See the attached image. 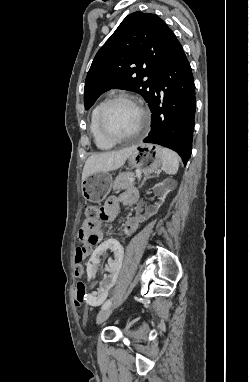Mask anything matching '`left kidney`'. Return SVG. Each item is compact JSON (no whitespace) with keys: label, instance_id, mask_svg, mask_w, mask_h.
Listing matches in <instances>:
<instances>
[{"label":"left kidney","instance_id":"left-kidney-1","mask_svg":"<svg viewBox=\"0 0 249 382\" xmlns=\"http://www.w3.org/2000/svg\"><path fill=\"white\" fill-rule=\"evenodd\" d=\"M176 181L173 179H165L161 183L151 186L152 194L146 197V201H138V208H153L157 203L156 210L163 204L167 194L176 188ZM118 237H107L102 240L101 245L93 251V254L87 262L86 272L88 277H99L103 273V280L99 281V285L94 291L89 292L88 299H84L87 307H100V302H106L110 298V287L115 286V277L121 270L122 260L124 256V248ZM102 257H114V260H107L106 265L102 262ZM86 278L88 282L90 279Z\"/></svg>","mask_w":249,"mask_h":382}]
</instances>
